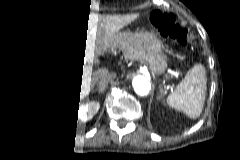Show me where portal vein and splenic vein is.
I'll return each mask as SVG.
<instances>
[{"instance_id":"portal-vein-and-splenic-vein-1","label":"portal vein and splenic vein","mask_w":240,"mask_h":160,"mask_svg":"<svg viewBox=\"0 0 240 160\" xmlns=\"http://www.w3.org/2000/svg\"><path fill=\"white\" fill-rule=\"evenodd\" d=\"M95 64H96V65H99V61H95ZM91 71H92L91 68H83L82 75H83V76H87L88 74H90Z\"/></svg>"}]
</instances>
